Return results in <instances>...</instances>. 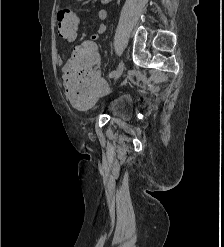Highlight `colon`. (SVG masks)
Masks as SVG:
<instances>
[{
	"mask_svg": "<svg viewBox=\"0 0 224 247\" xmlns=\"http://www.w3.org/2000/svg\"><path fill=\"white\" fill-rule=\"evenodd\" d=\"M79 21L69 8L57 14L58 33L63 38L77 34ZM99 52L92 42L76 47L65 67L64 80L68 85V98L78 108L92 106L105 89V80L100 73Z\"/></svg>",
	"mask_w": 224,
	"mask_h": 247,
	"instance_id": "5ec220e1",
	"label": "colon"
}]
</instances>
